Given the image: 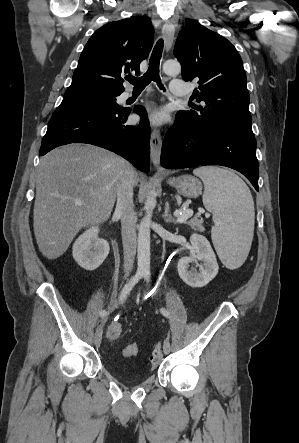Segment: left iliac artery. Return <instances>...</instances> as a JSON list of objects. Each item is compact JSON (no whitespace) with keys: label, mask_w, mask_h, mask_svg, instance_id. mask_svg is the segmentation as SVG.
I'll list each match as a JSON object with an SVG mask.
<instances>
[{"label":"left iliac artery","mask_w":299,"mask_h":443,"mask_svg":"<svg viewBox=\"0 0 299 443\" xmlns=\"http://www.w3.org/2000/svg\"><path fill=\"white\" fill-rule=\"evenodd\" d=\"M144 278H145V280L148 282V281L150 280V273H149V272H146V273L144 274ZM160 312H161L164 316L169 317V312H168L165 308H161V309H160Z\"/></svg>","instance_id":"1"}]
</instances>
